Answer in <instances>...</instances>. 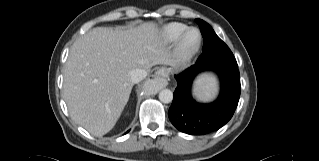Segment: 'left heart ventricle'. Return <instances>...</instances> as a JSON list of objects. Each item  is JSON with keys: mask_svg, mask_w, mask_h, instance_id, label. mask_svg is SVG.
I'll return each mask as SVG.
<instances>
[{"mask_svg": "<svg viewBox=\"0 0 319 161\" xmlns=\"http://www.w3.org/2000/svg\"><path fill=\"white\" fill-rule=\"evenodd\" d=\"M197 34L195 32H192L187 37V44L189 46L193 45L196 42Z\"/></svg>", "mask_w": 319, "mask_h": 161, "instance_id": "1", "label": "left heart ventricle"}]
</instances>
